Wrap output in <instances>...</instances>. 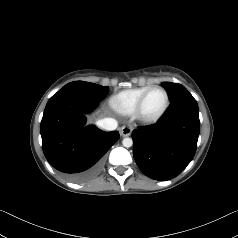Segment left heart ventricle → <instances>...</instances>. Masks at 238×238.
Listing matches in <instances>:
<instances>
[{
    "mask_svg": "<svg viewBox=\"0 0 238 238\" xmlns=\"http://www.w3.org/2000/svg\"><path fill=\"white\" fill-rule=\"evenodd\" d=\"M165 105V95L162 90L154 89L147 96L144 106L143 113L146 116L157 115Z\"/></svg>",
    "mask_w": 238,
    "mask_h": 238,
    "instance_id": "left-heart-ventricle-1",
    "label": "left heart ventricle"
}]
</instances>
